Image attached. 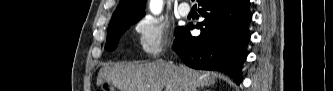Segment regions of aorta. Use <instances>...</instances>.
<instances>
[{
	"label": "aorta",
	"instance_id": "obj_1",
	"mask_svg": "<svg viewBox=\"0 0 333 91\" xmlns=\"http://www.w3.org/2000/svg\"><path fill=\"white\" fill-rule=\"evenodd\" d=\"M162 8V1L161 0H153L151 2V11L154 14H158L161 11Z\"/></svg>",
	"mask_w": 333,
	"mask_h": 91
}]
</instances>
